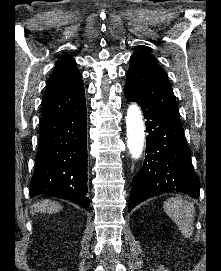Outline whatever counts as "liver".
Returning <instances> with one entry per match:
<instances>
[{
    "label": "liver",
    "mask_w": 221,
    "mask_h": 271,
    "mask_svg": "<svg viewBox=\"0 0 221 271\" xmlns=\"http://www.w3.org/2000/svg\"><path fill=\"white\" fill-rule=\"evenodd\" d=\"M59 209H62V205L58 203V201L43 199V201H37V203L31 205L30 213H32V215H34L36 211H40V213H56Z\"/></svg>",
    "instance_id": "1"
}]
</instances>
